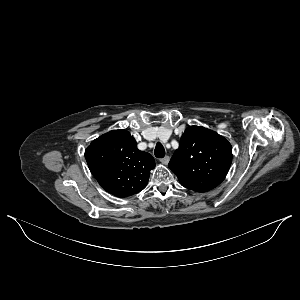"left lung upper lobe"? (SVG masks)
<instances>
[{
	"mask_svg": "<svg viewBox=\"0 0 300 300\" xmlns=\"http://www.w3.org/2000/svg\"><path fill=\"white\" fill-rule=\"evenodd\" d=\"M232 162V146L221 135L204 127H188L168 167L180 184L196 192L218 186Z\"/></svg>",
	"mask_w": 300,
	"mask_h": 300,
	"instance_id": "1",
	"label": "left lung upper lobe"
}]
</instances>
